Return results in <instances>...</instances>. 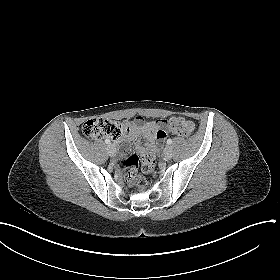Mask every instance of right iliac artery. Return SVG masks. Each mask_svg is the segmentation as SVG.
Returning a JSON list of instances; mask_svg holds the SVG:
<instances>
[{
  "mask_svg": "<svg viewBox=\"0 0 280 280\" xmlns=\"http://www.w3.org/2000/svg\"><path fill=\"white\" fill-rule=\"evenodd\" d=\"M105 143H106V144H110V140H109V139H106V140H105Z\"/></svg>",
  "mask_w": 280,
  "mask_h": 280,
  "instance_id": "1",
  "label": "right iliac artery"
}]
</instances>
